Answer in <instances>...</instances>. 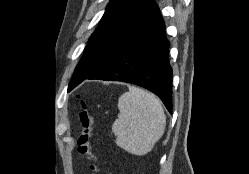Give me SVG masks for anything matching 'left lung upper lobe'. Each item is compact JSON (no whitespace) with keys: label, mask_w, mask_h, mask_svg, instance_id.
I'll use <instances>...</instances> for the list:
<instances>
[{"label":"left lung upper lobe","mask_w":249,"mask_h":174,"mask_svg":"<svg viewBox=\"0 0 249 174\" xmlns=\"http://www.w3.org/2000/svg\"><path fill=\"white\" fill-rule=\"evenodd\" d=\"M160 13L154 0H110L92 34L68 89L78 78H88L105 66L138 31Z\"/></svg>","instance_id":"1"}]
</instances>
